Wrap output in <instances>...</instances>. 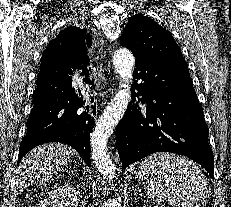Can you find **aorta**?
<instances>
[{
	"label": "aorta",
	"mask_w": 231,
	"mask_h": 207,
	"mask_svg": "<svg viewBox=\"0 0 231 207\" xmlns=\"http://www.w3.org/2000/svg\"><path fill=\"white\" fill-rule=\"evenodd\" d=\"M113 64L122 84L98 119L91 135V159L102 177L110 181L116 176V167L107 154L106 145L110 134L124 116L130 102V83L135 58L128 49L120 48L113 55Z\"/></svg>",
	"instance_id": "762f6f07"
}]
</instances>
